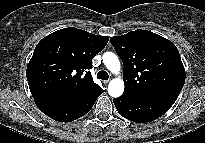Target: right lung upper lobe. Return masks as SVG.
<instances>
[{"label": "right lung upper lobe", "instance_id": "1", "mask_svg": "<svg viewBox=\"0 0 205 143\" xmlns=\"http://www.w3.org/2000/svg\"><path fill=\"white\" fill-rule=\"evenodd\" d=\"M108 37L74 27L44 37L36 46L26 76L36 102L69 104L100 88L90 69Z\"/></svg>", "mask_w": 205, "mask_h": 143}]
</instances>
